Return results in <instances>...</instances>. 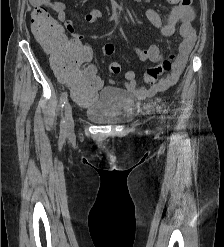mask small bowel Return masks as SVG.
Listing matches in <instances>:
<instances>
[{"instance_id":"c3829d8e","label":"small bowel","mask_w":224,"mask_h":247,"mask_svg":"<svg viewBox=\"0 0 224 247\" xmlns=\"http://www.w3.org/2000/svg\"><path fill=\"white\" fill-rule=\"evenodd\" d=\"M30 2L36 8H52L57 14L58 20L63 23L71 35L72 40L81 42L84 38V35L77 33L72 22L66 18V6L63 2L57 0H30ZM166 2L172 5V9L165 23L162 21L160 15L153 9H147L145 11L146 18L154 27L160 30L164 37L174 35L177 25L180 24L179 33L183 37V41L179 47L178 57L174 61L169 73L148 87L137 86L134 71L129 70L124 74L125 89L137 98L153 96L173 86L184 69L187 58L196 40V30L192 26L195 12L191 7V0H166ZM101 17H103L101 11L92 9L86 14L85 19L87 23H94ZM133 49L142 61L162 62L163 60V55L157 45L150 44L145 47L134 45Z\"/></svg>"}]
</instances>
